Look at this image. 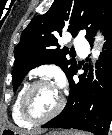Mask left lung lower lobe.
Wrapping results in <instances>:
<instances>
[{
  "mask_svg": "<svg viewBox=\"0 0 112 135\" xmlns=\"http://www.w3.org/2000/svg\"><path fill=\"white\" fill-rule=\"evenodd\" d=\"M103 34L106 41L95 72H90L88 78L79 76L77 84L73 75L78 68L70 75V94L65 108L43 128H73L95 135L108 134L112 117V20Z\"/></svg>",
  "mask_w": 112,
  "mask_h": 135,
  "instance_id": "obj_1",
  "label": "left lung lower lobe"
}]
</instances>
